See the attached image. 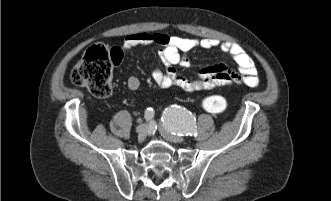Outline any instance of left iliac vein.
Here are the masks:
<instances>
[{
  "label": "left iliac vein",
  "mask_w": 331,
  "mask_h": 201,
  "mask_svg": "<svg viewBox=\"0 0 331 201\" xmlns=\"http://www.w3.org/2000/svg\"><path fill=\"white\" fill-rule=\"evenodd\" d=\"M161 135L170 142H174V143H179L182 142L184 140L183 137L176 135V134H172L166 130H161Z\"/></svg>",
  "instance_id": "1"
}]
</instances>
